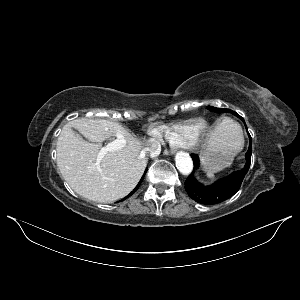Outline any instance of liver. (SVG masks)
Segmentation results:
<instances>
[{
	"label": "liver",
	"mask_w": 300,
	"mask_h": 300,
	"mask_svg": "<svg viewBox=\"0 0 300 300\" xmlns=\"http://www.w3.org/2000/svg\"><path fill=\"white\" fill-rule=\"evenodd\" d=\"M72 128L89 141L83 140ZM121 136V149L107 152L98 162L102 141ZM231 137L223 125L207 138L206 147ZM143 144L120 124L105 119H76L66 124L57 140V165L64 180L80 196L99 203H111L128 195L137 185L147 165L140 158Z\"/></svg>",
	"instance_id": "1"
}]
</instances>
